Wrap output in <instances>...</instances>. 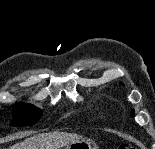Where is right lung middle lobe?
<instances>
[{
	"mask_svg": "<svg viewBox=\"0 0 155 149\" xmlns=\"http://www.w3.org/2000/svg\"><path fill=\"white\" fill-rule=\"evenodd\" d=\"M16 115V126H30L34 125L42 115V111L28 104H18L14 108Z\"/></svg>",
	"mask_w": 155,
	"mask_h": 149,
	"instance_id": "right-lung-middle-lobe-1",
	"label": "right lung middle lobe"
}]
</instances>
